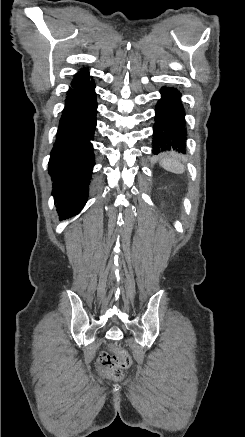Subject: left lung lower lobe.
I'll return each instance as SVG.
<instances>
[{
  "instance_id": "0a47b994",
  "label": "left lung lower lobe",
  "mask_w": 245,
  "mask_h": 437,
  "mask_svg": "<svg viewBox=\"0 0 245 437\" xmlns=\"http://www.w3.org/2000/svg\"><path fill=\"white\" fill-rule=\"evenodd\" d=\"M162 98L156 106L153 130V153L174 150L185 152V113L180 100L181 93L175 88L161 89Z\"/></svg>"
}]
</instances>
